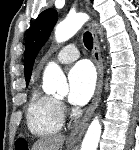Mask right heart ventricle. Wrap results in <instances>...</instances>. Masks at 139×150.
<instances>
[{
	"instance_id": "right-heart-ventricle-1",
	"label": "right heart ventricle",
	"mask_w": 139,
	"mask_h": 150,
	"mask_svg": "<svg viewBox=\"0 0 139 150\" xmlns=\"http://www.w3.org/2000/svg\"><path fill=\"white\" fill-rule=\"evenodd\" d=\"M26 122L29 131L37 136L58 132L64 123L60 103L35 86L28 101Z\"/></svg>"
}]
</instances>
